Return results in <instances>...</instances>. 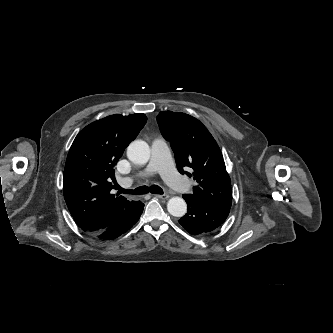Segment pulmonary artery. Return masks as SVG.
<instances>
[{
	"instance_id": "pulmonary-artery-1",
	"label": "pulmonary artery",
	"mask_w": 333,
	"mask_h": 333,
	"mask_svg": "<svg viewBox=\"0 0 333 333\" xmlns=\"http://www.w3.org/2000/svg\"><path fill=\"white\" fill-rule=\"evenodd\" d=\"M159 173L162 178L173 188L185 192L189 189V183L181 177L173 167L170 150L167 141L163 137H157L151 144V160L139 176H150ZM132 179H126L123 184L128 186Z\"/></svg>"
}]
</instances>
